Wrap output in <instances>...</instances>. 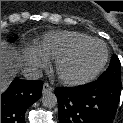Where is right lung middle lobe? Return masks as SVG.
Masks as SVG:
<instances>
[{
  "instance_id": "dd1d6c3e",
  "label": "right lung middle lobe",
  "mask_w": 123,
  "mask_h": 123,
  "mask_svg": "<svg viewBox=\"0 0 123 123\" xmlns=\"http://www.w3.org/2000/svg\"><path fill=\"white\" fill-rule=\"evenodd\" d=\"M16 39V37H14L13 39H10L9 41H14Z\"/></svg>"
}]
</instances>
